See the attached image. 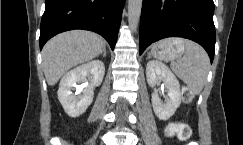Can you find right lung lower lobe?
Here are the masks:
<instances>
[{
  "mask_svg": "<svg viewBox=\"0 0 243 145\" xmlns=\"http://www.w3.org/2000/svg\"><path fill=\"white\" fill-rule=\"evenodd\" d=\"M125 0H46L40 26V49L54 35L86 29L102 35L111 48L117 41Z\"/></svg>",
  "mask_w": 243,
  "mask_h": 145,
  "instance_id": "obj_1",
  "label": "right lung lower lobe"
}]
</instances>
